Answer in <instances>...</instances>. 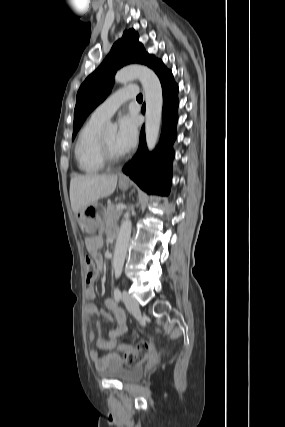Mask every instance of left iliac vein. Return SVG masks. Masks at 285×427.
<instances>
[{
	"instance_id": "left-iliac-vein-1",
	"label": "left iliac vein",
	"mask_w": 285,
	"mask_h": 427,
	"mask_svg": "<svg viewBox=\"0 0 285 427\" xmlns=\"http://www.w3.org/2000/svg\"><path fill=\"white\" fill-rule=\"evenodd\" d=\"M123 301L125 303L126 308L130 311H136L139 309V304L135 298L129 295L126 291H123L122 295Z\"/></svg>"
}]
</instances>
